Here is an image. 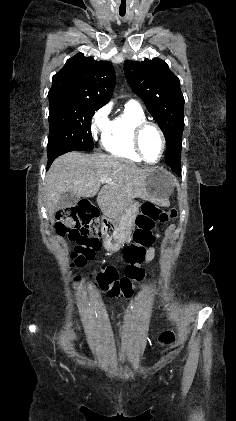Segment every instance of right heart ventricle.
I'll use <instances>...</instances> for the list:
<instances>
[{
    "mask_svg": "<svg viewBox=\"0 0 236 421\" xmlns=\"http://www.w3.org/2000/svg\"><path fill=\"white\" fill-rule=\"evenodd\" d=\"M146 120L142 107L135 101L125 104L124 110L110 120L101 134V147L109 154L133 163H141L133 143L135 126Z\"/></svg>",
    "mask_w": 236,
    "mask_h": 421,
    "instance_id": "right-heart-ventricle-1",
    "label": "right heart ventricle"
}]
</instances>
